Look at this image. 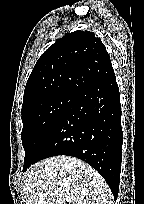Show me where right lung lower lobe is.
Returning <instances> with one entry per match:
<instances>
[{"label":"right lung lower lobe","mask_w":144,"mask_h":204,"mask_svg":"<svg viewBox=\"0 0 144 204\" xmlns=\"http://www.w3.org/2000/svg\"><path fill=\"white\" fill-rule=\"evenodd\" d=\"M122 142L120 94L113 73L75 95L35 163L56 155L79 158L102 175L116 200Z\"/></svg>","instance_id":"98d812e1"}]
</instances>
